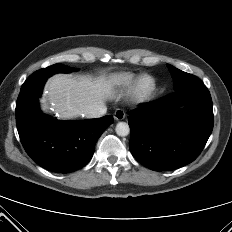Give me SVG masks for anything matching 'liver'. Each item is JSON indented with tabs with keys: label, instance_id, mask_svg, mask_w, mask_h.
Masks as SVG:
<instances>
[{
	"label": "liver",
	"instance_id": "liver-1",
	"mask_svg": "<svg viewBox=\"0 0 232 232\" xmlns=\"http://www.w3.org/2000/svg\"><path fill=\"white\" fill-rule=\"evenodd\" d=\"M118 82L116 76L93 79L56 74L48 81L46 100L61 119H73L103 105Z\"/></svg>",
	"mask_w": 232,
	"mask_h": 232
}]
</instances>
